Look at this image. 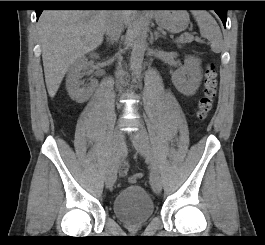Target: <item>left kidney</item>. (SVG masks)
I'll return each instance as SVG.
<instances>
[{
    "mask_svg": "<svg viewBox=\"0 0 265 245\" xmlns=\"http://www.w3.org/2000/svg\"><path fill=\"white\" fill-rule=\"evenodd\" d=\"M201 79L200 60L193 56L186 57L184 65L172 74L174 86L185 96H192L196 93Z\"/></svg>",
    "mask_w": 265,
    "mask_h": 245,
    "instance_id": "5707ae66",
    "label": "left kidney"
}]
</instances>
